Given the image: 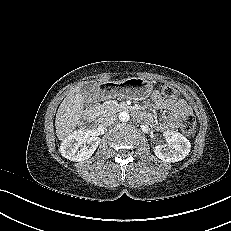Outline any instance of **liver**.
Instances as JSON below:
<instances>
[{"instance_id": "1", "label": "liver", "mask_w": 231, "mask_h": 231, "mask_svg": "<svg viewBox=\"0 0 231 231\" xmlns=\"http://www.w3.org/2000/svg\"><path fill=\"white\" fill-rule=\"evenodd\" d=\"M108 78L100 80L107 83ZM84 99L80 88L70 91L60 104L55 118L56 134L59 140L63 141L77 126L82 125L84 116Z\"/></svg>"}]
</instances>
